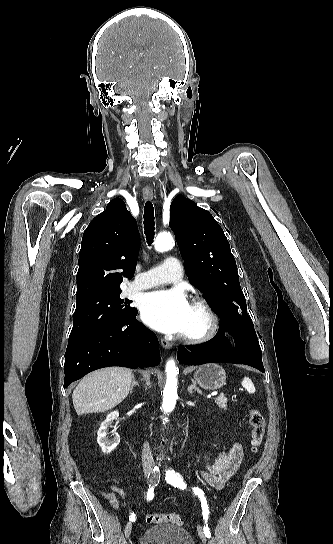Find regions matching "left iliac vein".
Segmentation results:
<instances>
[{
    "label": "left iliac vein",
    "mask_w": 333,
    "mask_h": 544,
    "mask_svg": "<svg viewBox=\"0 0 333 544\" xmlns=\"http://www.w3.org/2000/svg\"><path fill=\"white\" fill-rule=\"evenodd\" d=\"M197 531H198V535H199L200 539L202 540V542L204 544H206L207 539H206L205 533H204V531H203V529H202V527L200 525L197 526Z\"/></svg>",
    "instance_id": "left-iliac-vein-1"
}]
</instances>
